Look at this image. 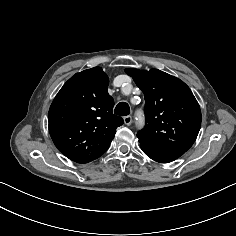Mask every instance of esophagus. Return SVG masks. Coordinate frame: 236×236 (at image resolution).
<instances>
[{"label":"esophagus","mask_w":236,"mask_h":236,"mask_svg":"<svg viewBox=\"0 0 236 236\" xmlns=\"http://www.w3.org/2000/svg\"><path fill=\"white\" fill-rule=\"evenodd\" d=\"M124 123L126 124V125H131V123H132V117L131 116H125L124 117Z\"/></svg>","instance_id":"34e87169"}]
</instances>
